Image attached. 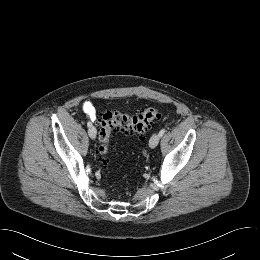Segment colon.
Listing matches in <instances>:
<instances>
[{"mask_svg": "<svg viewBox=\"0 0 260 260\" xmlns=\"http://www.w3.org/2000/svg\"><path fill=\"white\" fill-rule=\"evenodd\" d=\"M159 112L148 107L136 115H127L118 111H105L100 118L98 155L103 164H108L109 140L112 134L123 132L126 135L142 136Z\"/></svg>", "mask_w": 260, "mask_h": 260, "instance_id": "obj_1", "label": "colon"}]
</instances>
